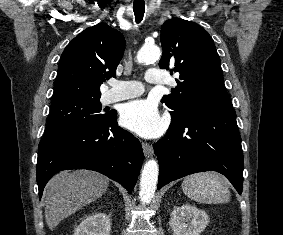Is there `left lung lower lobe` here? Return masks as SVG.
Instances as JSON below:
<instances>
[{"mask_svg":"<svg viewBox=\"0 0 283 235\" xmlns=\"http://www.w3.org/2000/svg\"><path fill=\"white\" fill-rule=\"evenodd\" d=\"M154 151L160 167L158 189L186 175L213 170L242 193L244 159L234 109L171 122Z\"/></svg>","mask_w":283,"mask_h":235,"instance_id":"0a47b994","label":"left lung lower lobe"}]
</instances>
